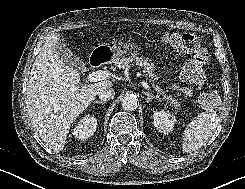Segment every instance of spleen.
<instances>
[{
	"mask_svg": "<svg viewBox=\"0 0 245 189\" xmlns=\"http://www.w3.org/2000/svg\"><path fill=\"white\" fill-rule=\"evenodd\" d=\"M220 118L214 111L202 112L192 120L184 130L182 150L191 153L203 146L213 135Z\"/></svg>",
	"mask_w": 245,
	"mask_h": 189,
	"instance_id": "spleen-1",
	"label": "spleen"
}]
</instances>
